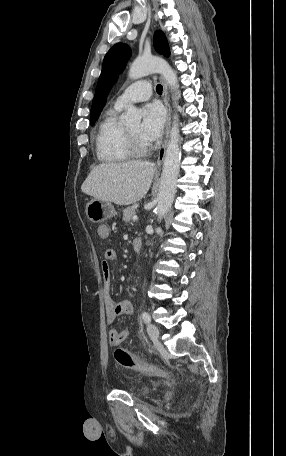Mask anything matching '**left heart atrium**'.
<instances>
[{
	"label": "left heart atrium",
	"instance_id": "obj_1",
	"mask_svg": "<svg viewBox=\"0 0 286 456\" xmlns=\"http://www.w3.org/2000/svg\"><path fill=\"white\" fill-rule=\"evenodd\" d=\"M165 118V111L160 104H146L143 108V122L140 127L141 138L148 144L156 141L162 134Z\"/></svg>",
	"mask_w": 286,
	"mask_h": 456
}]
</instances>
